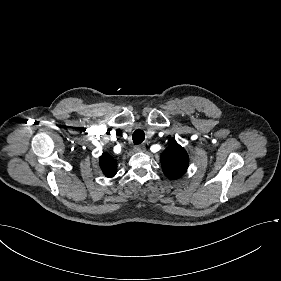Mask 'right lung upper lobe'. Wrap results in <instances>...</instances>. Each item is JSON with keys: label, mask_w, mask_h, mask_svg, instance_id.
<instances>
[{"label": "right lung upper lobe", "mask_w": 281, "mask_h": 281, "mask_svg": "<svg viewBox=\"0 0 281 281\" xmlns=\"http://www.w3.org/2000/svg\"><path fill=\"white\" fill-rule=\"evenodd\" d=\"M100 167L106 177L112 178L117 173V162L108 153L100 157Z\"/></svg>", "instance_id": "right-lung-upper-lobe-1"}]
</instances>
